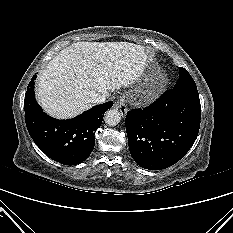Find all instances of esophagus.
I'll use <instances>...</instances> for the list:
<instances>
[{"label": "esophagus", "instance_id": "obj_1", "mask_svg": "<svg viewBox=\"0 0 233 233\" xmlns=\"http://www.w3.org/2000/svg\"><path fill=\"white\" fill-rule=\"evenodd\" d=\"M116 109L119 110L120 114L122 116H125L128 112V108L126 106V101H125V96H120V98L118 99V101L115 104Z\"/></svg>", "mask_w": 233, "mask_h": 233}]
</instances>
